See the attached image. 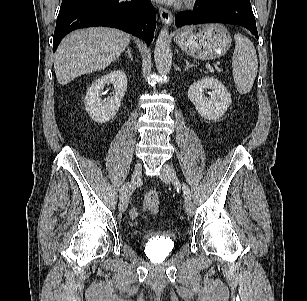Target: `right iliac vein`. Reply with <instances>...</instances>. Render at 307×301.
<instances>
[{
  "label": "right iliac vein",
  "instance_id": "63e3f726",
  "mask_svg": "<svg viewBox=\"0 0 307 301\" xmlns=\"http://www.w3.org/2000/svg\"><path fill=\"white\" fill-rule=\"evenodd\" d=\"M142 174V165L141 163H137L135 165L134 171L132 173L131 182L133 185L137 184L141 178ZM129 203V194H126L124 198L119 203V210L121 212H125Z\"/></svg>",
  "mask_w": 307,
  "mask_h": 301
}]
</instances>
